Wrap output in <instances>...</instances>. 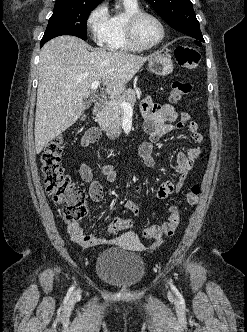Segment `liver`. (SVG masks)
<instances>
[{"mask_svg": "<svg viewBox=\"0 0 247 332\" xmlns=\"http://www.w3.org/2000/svg\"><path fill=\"white\" fill-rule=\"evenodd\" d=\"M148 59L126 52L93 50L69 35L47 42L38 66L36 153L79 119L94 81H100L108 95L119 97Z\"/></svg>", "mask_w": 247, "mask_h": 332, "instance_id": "6515ba94", "label": "liver"}]
</instances>
